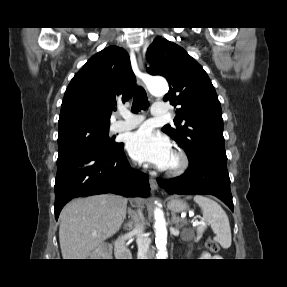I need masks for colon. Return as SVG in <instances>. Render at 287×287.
<instances>
[{
    "label": "colon",
    "instance_id": "obj_1",
    "mask_svg": "<svg viewBox=\"0 0 287 287\" xmlns=\"http://www.w3.org/2000/svg\"><path fill=\"white\" fill-rule=\"evenodd\" d=\"M205 246L209 251L213 253H217L219 251V245L211 239L206 240Z\"/></svg>",
    "mask_w": 287,
    "mask_h": 287
}]
</instances>
